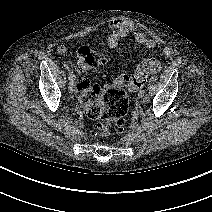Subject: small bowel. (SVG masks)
Listing matches in <instances>:
<instances>
[{
  "label": "small bowel",
  "instance_id": "c3829d8e",
  "mask_svg": "<svg viewBox=\"0 0 212 212\" xmlns=\"http://www.w3.org/2000/svg\"><path fill=\"white\" fill-rule=\"evenodd\" d=\"M108 28L107 46L109 49L116 48L120 40L128 36H131L137 44L147 49H153L157 46V41L154 38L145 35L129 21L114 19L110 21ZM57 53L62 56L67 55L68 48L65 45H59L57 47ZM162 54L165 57H172L175 54V51L170 47H165L162 50ZM161 68L162 66L159 60L146 58L139 63L136 74L146 77L147 75L158 73ZM130 89L136 90L132 88Z\"/></svg>",
  "mask_w": 212,
  "mask_h": 212
}]
</instances>
